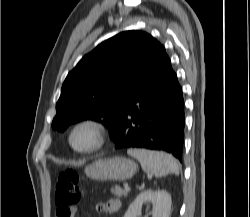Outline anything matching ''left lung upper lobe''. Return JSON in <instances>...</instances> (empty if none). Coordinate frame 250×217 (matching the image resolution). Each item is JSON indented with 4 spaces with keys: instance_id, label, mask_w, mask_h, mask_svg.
<instances>
[{
    "instance_id": "left-lung-upper-lobe-1",
    "label": "left lung upper lobe",
    "mask_w": 250,
    "mask_h": 217,
    "mask_svg": "<svg viewBox=\"0 0 250 217\" xmlns=\"http://www.w3.org/2000/svg\"><path fill=\"white\" fill-rule=\"evenodd\" d=\"M161 46L142 31H124L98 45L67 75L53 128L62 132L72 123L91 119L108 127L112 136Z\"/></svg>"
}]
</instances>
